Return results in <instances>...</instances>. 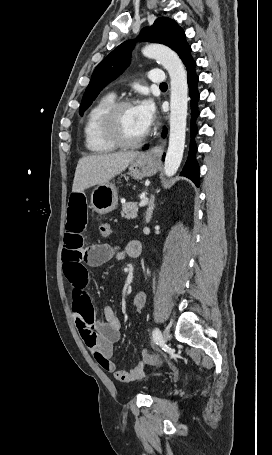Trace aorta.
Segmentation results:
<instances>
[{"label": "aorta", "mask_w": 272, "mask_h": 455, "mask_svg": "<svg viewBox=\"0 0 272 455\" xmlns=\"http://www.w3.org/2000/svg\"><path fill=\"white\" fill-rule=\"evenodd\" d=\"M145 57L157 60L168 71L170 76V135L165 157L164 172L173 176L182 161L188 105L187 73L179 56L163 45L149 44L142 49Z\"/></svg>", "instance_id": "aorta-1"}]
</instances>
